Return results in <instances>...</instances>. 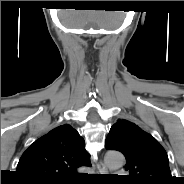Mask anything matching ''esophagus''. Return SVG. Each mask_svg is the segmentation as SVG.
<instances>
[{"instance_id": "obj_1", "label": "esophagus", "mask_w": 184, "mask_h": 184, "mask_svg": "<svg viewBox=\"0 0 184 184\" xmlns=\"http://www.w3.org/2000/svg\"><path fill=\"white\" fill-rule=\"evenodd\" d=\"M97 169L100 173H106L107 172V168L105 167V165L102 162L97 164Z\"/></svg>"}]
</instances>
